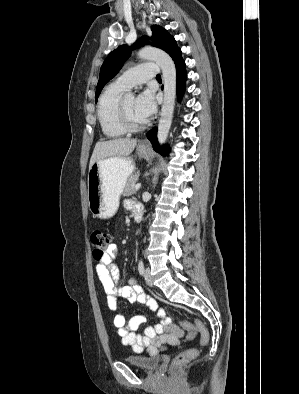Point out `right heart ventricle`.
I'll use <instances>...</instances> for the list:
<instances>
[{"instance_id": "obj_1", "label": "right heart ventricle", "mask_w": 299, "mask_h": 394, "mask_svg": "<svg viewBox=\"0 0 299 394\" xmlns=\"http://www.w3.org/2000/svg\"><path fill=\"white\" fill-rule=\"evenodd\" d=\"M125 91L113 82L105 88L99 98L97 117L103 134L108 138H118L126 133L118 119V104Z\"/></svg>"}]
</instances>
